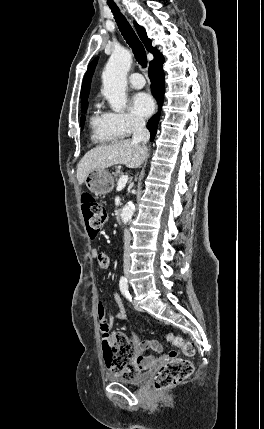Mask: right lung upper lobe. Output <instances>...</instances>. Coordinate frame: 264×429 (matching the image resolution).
I'll return each instance as SVG.
<instances>
[{
    "mask_svg": "<svg viewBox=\"0 0 264 429\" xmlns=\"http://www.w3.org/2000/svg\"><path fill=\"white\" fill-rule=\"evenodd\" d=\"M134 26H135V28L137 30V33H138L140 39L144 43L146 49L149 52H151L154 55V59H156L160 55V52L156 48L152 47V44H151L152 42L147 37L145 29L142 26L138 25L136 22H134ZM97 61H98V58L94 59L90 63V65H89V67L87 69V72L85 74V77H84V80H83V85H82V88H81V106L88 104L87 98L89 96L90 83H91V79H92V76H93V73H94Z\"/></svg>",
    "mask_w": 264,
    "mask_h": 429,
    "instance_id": "right-lung-upper-lobe-1",
    "label": "right lung upper lobe"
}]
</instances>
